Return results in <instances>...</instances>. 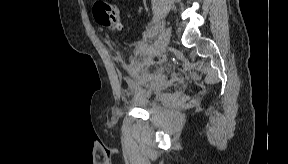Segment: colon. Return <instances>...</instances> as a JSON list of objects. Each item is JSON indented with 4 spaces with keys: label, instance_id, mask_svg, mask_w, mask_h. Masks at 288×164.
Segmentation results:
<instances>
[{
    "label": "colon",
    "instance_id": "5ec220e1",
    "mask_svg": "<svg viewBox=\"0 0 288 164\" xmlns=\"http://www.w3.org/2000/svg\"><path fill=\"white\" fill-rule=\"evenodd\" d=\"M95 17L101 26L111 30H119L122 27L119 9L115 5L98 3L95 9Z\"/></svg>",
    "mask_w": 288,
    "mask_h": 164
}]
</instances>
